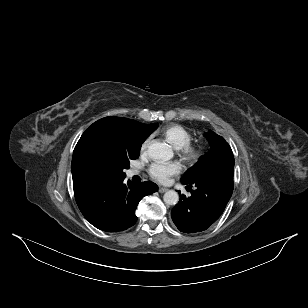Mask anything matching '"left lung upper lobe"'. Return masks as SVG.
I'll use <instances>...</instances> for the list:
<instances>
[{"label": "left lung upper lobe", "instance_id": "obj_1", "mask_svg": "<svg viewBox=\"0 0 308 308\" xmlns=\"http://www.w3.org/2000/svg\"><path fill=\"white\" fill-rule=\"evenodd\" d=\"M205 137L209 141L210 151L187 170L181 182H192L202 174L221 166L234 167V156L225 139L212 131L205 133Z\"/></svg>", "mask_w": 308, "mask_h": 308}]
</instances>
